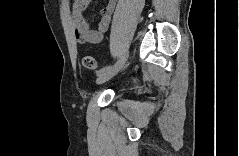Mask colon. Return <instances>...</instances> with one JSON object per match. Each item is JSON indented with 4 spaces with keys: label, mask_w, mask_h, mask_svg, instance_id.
<instances>
[{
    "label": "colon",
    "mask_w": 239,
    "mask_h": 156,
    "mask_svg": "<svg viewBox=\"0 0 239 156\" xmlns=\"http://www.w3.org/2000/svg\"><path fill=\"white\" fill-rule=\"evenodd\" d=\"M82 64L89 70H96L98 67L97 61L92 56L85 55L82 57Z\"/></svg>",
    "instance_id": "colon-1"
}]
</instances>
